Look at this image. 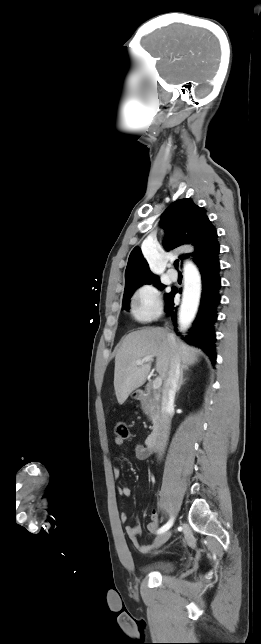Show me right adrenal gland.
I'll list each match as a JSON object with an SVG mask.
<instances>
[{
  "label": "right adrenal gland",
  "instance_id": "right-adrenal-gland-1",
  "mask_svg": "<svg viewBox=\"0 0 261 644\" xmlns=\"http://www.w3.org/2000/svg\"><path fill=\"white\" fill-rule=\"evenodd\" d=\"M186 380L187 378H184V372L183 370H181V375H180L179 383L176 390L177 393H179L181 386L185 383Z\"/></svg>",
  "mask_w": 261,
  "mask_h": 644
}]
</instances>
